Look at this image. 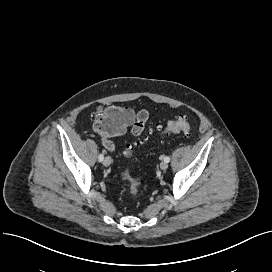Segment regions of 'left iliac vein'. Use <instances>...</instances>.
I'll return each instance as SVG.
<instances>
[{
    "instance_id": "left-iliac-vein-1",
    "label": "left iliac vein",
    "mask_w": 272,
    "mask_h": 272,
    "mask_svg": "<svg viewBox=\"0 0 272 272\" xmlns=\"http://www.w3.org/2000/svg\"><path fill=\"white\" fill-rule=\"evenodd\" d=\"M168 168V163L163 161L160 163V169L161 170H166Z\"/></svg>"
}]
</instances>
